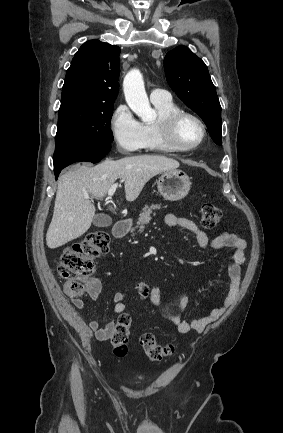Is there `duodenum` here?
I'll return each mask as SVG.
<instances>
[{"instance_id":"1","label":"duodenum","mask_w":283,"mask_h":433,"mask_svg":"<svg viewBox=\"0 0 283 433\" xmlns=\"http://www.w3.org/2000/svg\"><path fill=\"white\" fill-rule=\"evenodd\" d=\"M128 231V224L123 220L115 222L113 226V235L116 238L123 237Z\"/></svg>"}]
</instances>
